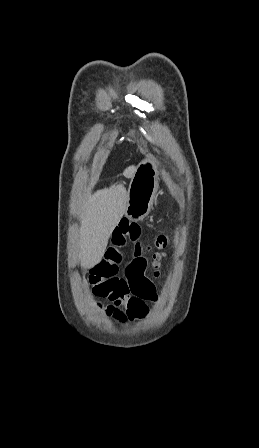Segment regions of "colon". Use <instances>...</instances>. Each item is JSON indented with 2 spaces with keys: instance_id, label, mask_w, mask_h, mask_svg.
I'll return each mask as SVG.
<instances>
[{
  "instance_id": "1",
  "label": "colon",
  "mask_w": 259,
  "mask_h": 448,
  "mask_svg": "<svg viewBox=\"0 0 259 448\" xmlns=\"http://www.w3.org/2000/svg\"><path fill=\"white\" fill-rule=\"evenodd\" d=\"M168 241L164 236H159L154 244L153 247L155 248V251L153 253V267L155 271V275H158V268L160 265V260L164 257V249L167 247Z\"/></svg>"
}]
</instances>
